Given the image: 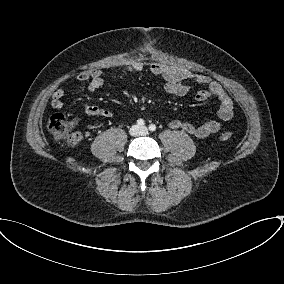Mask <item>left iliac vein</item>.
<instances>
[{
  "label": "left iliac vein",
  "instance_id": "4c4485c4",
  "mask_svg": "<svg viewBox=\"0 0 284 284\" xmlns=\"http://www.w3.org/2000/svg\"><path fill=\"white\" fill-rule=\"evenodd\" d=\"M140 132H141L142 134H147L148 129H147L145 126H143V127L140 128Z\"/></svg>",
  "mask_w": 284,
  "mask_h": 284
}]
</instances>
